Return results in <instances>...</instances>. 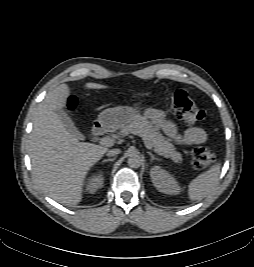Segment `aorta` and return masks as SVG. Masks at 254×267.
<instances>
[{
  "instance_id": "aorta-1",
  "label": "aorta",
  "mask_w": 254,
  "mask_h": 267,
  "mask_svg": "<svg viewBox=\"0 0 254 267\" xmlns=\"http://www.w3.org/2000/svg\"><path fill=\"white\" fill-rule=\"evenodd\" d=\"M127 163L131 168H139L142 164V158L136 151H132L129 154Z\"/></svg>"
}]
</instances>
